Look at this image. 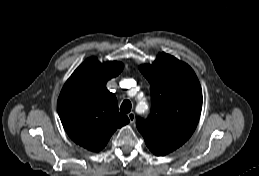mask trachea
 Returning <instances> with one entry per match:
<instances>
[{"label":"trachea","mask_w":259,"mask_h":176,"mask_svg":"<svg viewBox=\"0 0 259 176\" xmlns=\"http://www.w3.org/2000/svg\"><path fill=\"white\" fill-rule=\"evenodd\" d=\"M132 105L129 100H124L120 106V111L123 113H129L131 111Z\"/></svg>","instance_id":"trachea-1"}]
</instances>
